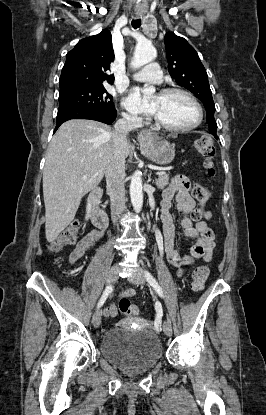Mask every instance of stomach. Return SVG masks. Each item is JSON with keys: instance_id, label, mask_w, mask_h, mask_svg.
<instances>
[{"instance_id": "1", "label": "stomach", "mask_w": 266, "mask_h": 415, "mask_svg": "<svg viewBox=\"0 0 266 415\" xmlns=\"http://www.w3.org/2000/svg\"><path fill=\"white\" fill-rule=\"evenodd\" d=\"M140 149L143 155L159 165L169 164L175 157L174 147L169 142L157 137L141 141Z\"/></svg>"}]
</instances>
